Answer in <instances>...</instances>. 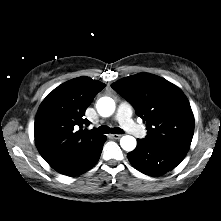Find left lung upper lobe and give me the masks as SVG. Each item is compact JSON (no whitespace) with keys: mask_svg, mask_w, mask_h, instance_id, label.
I'll return each mask as SVG.
<instances>
[{"mask_svg":"<svg viewBox=\"0 0 221 221\" xmlns=\"http://www.w3.org/2000/svg\"><path fill=\"white\" fill-rule=\"evenodd\" d=\"M111 87L128 100L146 122L149 143L188 151L194 134V116L180 88L153 74L122 78Z\"/></svg>","mask_w":221,"mask_h":221,"instance_id":"5c2ea615","label":"left lung upper lobe"}]
</instances>
